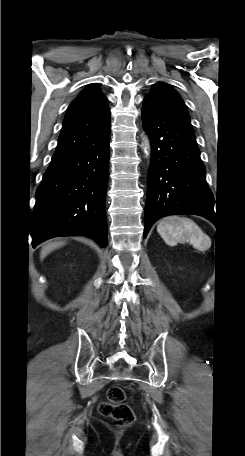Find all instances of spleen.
I'll use <instances>...</instances> for the list:
<instances>
[{"mask_svg":"<svg viewBox=\"0 0 245 456\" xmlns=\"http://www.w3.org/2000/svg\"><path fill=\"white\" fill-rule=\"evenodd\" d=\"M157 231L171 246L176 245L179 241H188L196 249L206 250L211 245L210 238L193 220L186 217H166L157 225Z\"/></svg>","mask_w":245,"mask_h":456,"instance_id":"3e777b00","label":"spleen"}]
</instances>
